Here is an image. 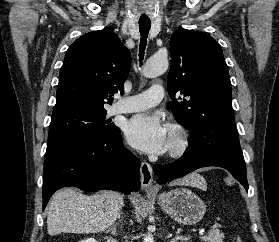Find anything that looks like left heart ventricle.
<instances>
[{
  "instance_id": "obj_1",
  "label": "left heart ventricle",
  "mask_w": 279,
  "mask_h": 242,
  "mask_svg": "<svg viewBox=\"0 0 279 242\" xmlns=\"http://www.w3.org/2000/svg\"><path fill=\"white\" fill-rule=\"evenodd\" d=\"M172 140H173V138H172V133H171V131L169 130V146L171 145Z\"/></svg>"
}]
</instances>
